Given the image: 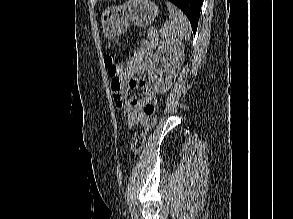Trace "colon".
I'll return each mask as SVG.
<instances>
[{"instance_id": "5ec220e1", "label": "colon", "mask_w": 293, "mask_h": 219, "mask_svg": "<svg viewBox=\"0 0 293 219\" xmlns=\"http://www.w3.org/2000/svg\"><path fill=\"white\" fill-rule=\"evenodd\" d=\"M105 65L107 67L109 75L113 77V80H112L113 88L115 90H119L120 84H119L118 78H119V75L121 74L120 64L116 61V59L112 55H107L105 57ZM147 112L152 115L154 113V108L148 107ZM150 126L151 125H148L146 130L137 132L134 135L131 142V149L134 154H138L142 150L145 143V139H146V133Z\"/></svg>"}]
</instances>
